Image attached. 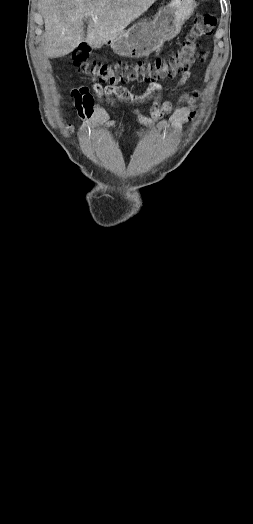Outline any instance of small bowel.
<instances>
[{
  "instance_id": "c3829d8e",
  "label": "small bowel",
  "mask_w": 253,
  "mask_h": 524,
  "mask_svg": "<svg viewBox=\"0 0 253 524\" xmlns=\"http://www.w3.org/2000/svg\"><path fill=\"white\" fill-rule=\"evenodd\" d=\"M196 49H201V46H196ZM188 72H185L184 76H187ZM100 98H110L114 97L117 100L128 101L131 103L142 102L151 98L154 94L159 93L162 90V86L158 83H152L148 89L141 94H132L126 88L121 86H114L111 89L107 90L104 88L95 89ZM70 96L75 98L76 104L78 105L81 101L91 100V97L88 95V88L81 87L78 90L72 89L70 91ZM172 110V105L166 101H160L159 98L154 104L151 110V117H143L136 106H133L132 112L136 118L146 125V130L150 132L155 131V123L159 122L162 133L166 134L171 132V126L175 131H180L183 120L187 115V109L177 108L173 111V114L170 118V122L162 119L164 113H168ZM104 126L108 130H112L114 134L121 138L125 131L129 128V124L126 120L114 121L109 120L108 113L106 110L98 103H93L91 114L87 118V122L83 124L80 128L83 134H88L89 136L93 135L94 130L98 126ZM145 130L136 131L137 135H141Z\"/></svg>"
}]
</instances>
